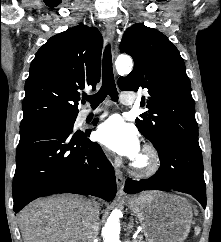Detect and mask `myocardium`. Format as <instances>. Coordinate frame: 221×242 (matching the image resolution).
<instances>
[{"instance_id":"obj_1","label":"myocardium","mask_w":221,"mask_h":242,"mask_svg":"<svg viewBox=\"0 0 221 242\" xmlns=\"http://www.w3.org/2000/svg\"><path fill=\"white\" fill-rule=\"evenodd\" d=\"M160 156L157 149L146 144L142 147L138 158L130 163V169L137 177H150L160 168Z\"/></svg>"}]
</instances>
